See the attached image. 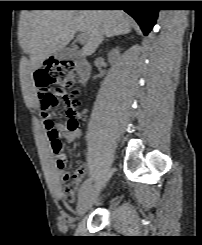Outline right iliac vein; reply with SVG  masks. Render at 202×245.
Here are the masks:
<instances>
[{"mask_svg":"<svg viewBox=\"0 0 202 245\" xmlns=\"http://www.w3.org/2000/svg\"><path fill=\"white\" fill-rule=\"evenodd\" d=\"M98 189L97 187L88 188L80 197L77 204V213L84 215L97 200Z\"/></svg>","mask_w":202,"mask_h":245,"instance_id":"obj_1","label":"right iliac vein"}]
</instances>
